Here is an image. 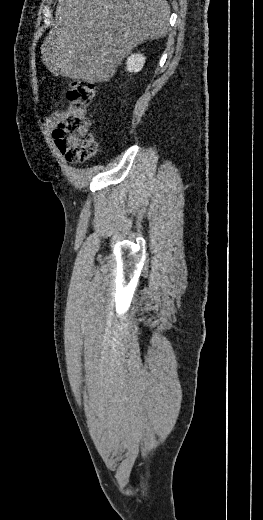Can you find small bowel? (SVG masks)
<instances>
[{"label": "small bowel", "instance_id": "obj_1", "mask_svg": "<svg viewBox=\"0 0 263 520\" xmlns=\"http://www.w3.org/2000/svg\"><path fill=\"white\" fill-rule=\"evenodd\" d=\"M62 119V112L54 111L49 117L42 120L43 126L47 132H52Z\"/></svg>", "mask_w": 263, "mask_h": 520}]
</instances>
